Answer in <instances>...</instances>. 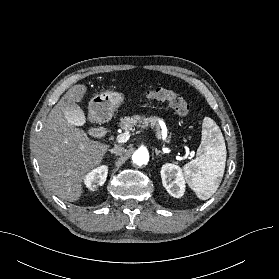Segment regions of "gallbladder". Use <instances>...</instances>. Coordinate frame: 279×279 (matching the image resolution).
<instances>
[{
	"label": "gallbladder",
	"instance_id": "obj_1",
	"mask_svg": "<svg viewBox=\"0 0 279 279\" xmlns=\"http://www.w3.org/2000/svg\"><path fill=\"white\" fill-rule=\"evenodd\" d=\"M65 109L68 113L67 117L70 122L77 126H81L84 124L85 117L78 105H76L74 102L69 101L67 102Z\"/></svg>",
	"mask_w": 279,
	"mask_h": 279
}]
</instances>
